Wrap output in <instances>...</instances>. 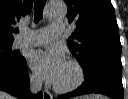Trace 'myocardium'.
<instances>
[{"instance_id":"1","label":"myocardium","mask_w":128,"mask_h":99,"mask_svg":"<svg viewBox=\"0 0 128 99\" xmlns=\"http://www.w3.org/2000/svg\"><path fill=\"white\" fill-rule=\"evenodd\" d=\"M67 63L72 66L76 71V79L75 81L68 86H59L57 84H53V89L58 93H69L77 89L84 82V70L79 62L75 60H69Z\"/></svg>"}]
</instances>
